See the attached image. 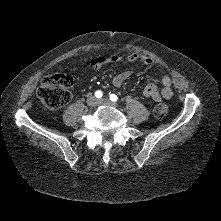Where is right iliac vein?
Instances as JSON below:
<instances>
[{"label":"right iliac vein","instance_id":"obj_1","mask_svg":"<svg viewBox=\"0 0 221 221\" xmlns=\"http://www.w3.org/2000/svg\"><path fill=\"white\" fill-rule=\"evenodd\" d=\"M97 99L94 97V96H92V95H90L89 97H88V99H87V104L89 105V106H91V107H94V106H96L97 105Z\"/></svg>","mask_w":221,"mask_h":221}]
</instances>
